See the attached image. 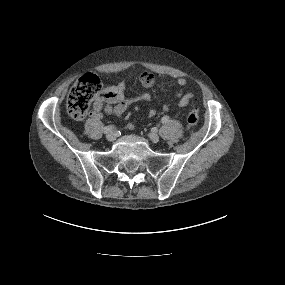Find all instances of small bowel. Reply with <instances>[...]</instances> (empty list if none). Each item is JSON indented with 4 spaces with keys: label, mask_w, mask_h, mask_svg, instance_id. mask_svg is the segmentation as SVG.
Returning <instances> with one entry per match:
<instances>
[{
    "label": "small bowel",
    "mask_w": 285,
    "mask_h": 285,
    "mask_svg": "<svg viewBox=\"0 0 285 285\" xmlns=\"http://www.w3.org/2000/svg\"><path fill=\"white\" fill-rule=\"evenodd\" d=\"M140 83L145 88H152L155 85V79L153 75L149 73H142L140 75ZM187 81L184 78H179L177 80V90L175 92V97L177 102L175 105L180 108L186 107L189 102L194 98V94L186 92ZM126 84L123 81L118 82L115 85L108 86L103 89L101 97L94 102L93 105V117L95 119H100L104 114L110 115H121L130 106L138 103H147L151 100V95L149 93H141L135 96H127L125 94ZM173 104L164 103L162 109L165 113L170 112ZM157 112L151 109L148 112L150 118L156 116ZM134 124L129 123L128 128L134 129Z\"/></svg>",
    "instance_id": "c3829d8e"
}]
</instances>
